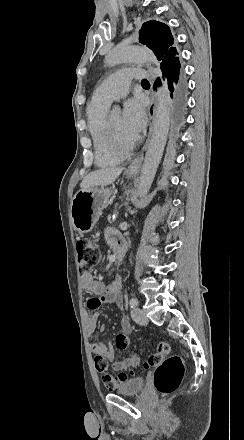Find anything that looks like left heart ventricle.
Segmentation results:
<instances>
[{
  "label": "left heart ventricle",
  "mask_w": 244,
  "mask_h": 440,
  "mask_svg": "<svg viewBox=\"0 0 244 440\" xmlns=\"http://www.w3.org/2000/svg\"><path fill=\"white\" fill-rule=\"evenodd\" d=\"M109 120L114 131L121 134L122 136L127 135V131L124 127L123 115L119 110L111 111ZM117 137L119 139L121 138L119 135Z\"/></svg>",
  "instance_id": "obj_1"
}]
</instances>
